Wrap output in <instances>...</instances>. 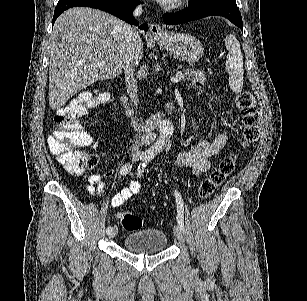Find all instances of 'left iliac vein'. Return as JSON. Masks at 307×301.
<instances>
[{
  "mask_svg": "<svg viewBox=\"0 0 307 301\" xmlns=\"http://www.w3.org/2000/svg\"><path fill=\"white\" fill-rule=\"evenodd\" d=\"M174 234H175V237L178 240V242L181 243V244H184L183 233H182V230L180 229V227L178 225L174 226Z\"/></svg>",
  "mask_w": 307,
  "mask_h": 301,
  "instance_id": "4c4485c4",
  "label": "left iliac vein"
}]
</instances>
